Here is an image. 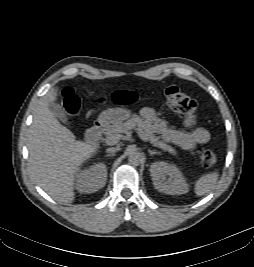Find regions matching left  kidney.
Masks as SVG:
<instances>
[{
	"label": "left kidney",
	"mask_w": 254,
	"mask_h": 267,
	"mask_svg": "<svg viewBox=\"0 0 254 267\" xmlns=\"http://www.w3.org/2000/svg\"><path fill=\"white\" fill-rule=\"evenodd\" d=\"M150 175L155 189L159 192L170 195H181L188 192V184L182 172L174 164L163 161L154 162L150 166Z\"/></svg>",
	"instance_id": "left-kidney-1"
}]
</instances>
